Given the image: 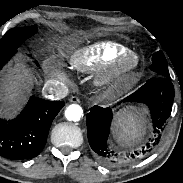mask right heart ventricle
Segmentation results:
<instances>
[{
    "mask_svg": "<svg viewBox=\"0 0 183 183\" xmlns=\"http://www.w3.org/2000/svg\"><path fill=\"white\" fill-rule=\"evenodd\" d=\"M127 51V47L116 42H97L74 51L69 57V63L79 72L93 71L109 65L116 56Z\"/></svg>",
    "mask_w": 183,
    "mask_h": 183,
    "instance_id": "e07e8e85",
    "label": "right heart ventricle"
}]
</instances>
